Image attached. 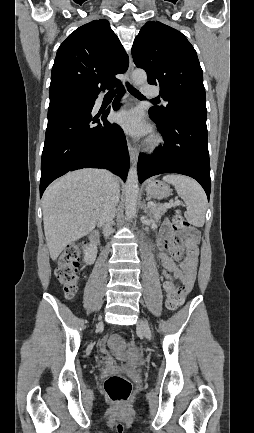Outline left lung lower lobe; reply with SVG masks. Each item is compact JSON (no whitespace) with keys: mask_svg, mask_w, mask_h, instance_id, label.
Returning a JSON list of instances; mask_svg holds the SVG:
<instances>
[{"mask_svg":"<svg viewBox=\"0 0 254 433\" xmlns=\"http://www.w3.org/2000/svg\"><path fill=\"white\" fill-rule=\"evenodd\" d=\"M149 114L164 137V144L159 146L152 156L139 155L140 183L154 175L179 173L197 180L209 200L211 179L206 117L184 112L161 121L150 111Z\"/></svg>","mask_w":254,"mask_h":433,"instance_id":"1","label":"left lung lower lobe"}]
</instances>
